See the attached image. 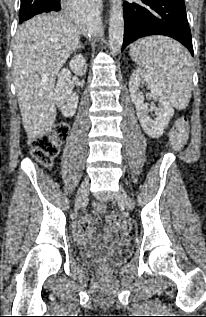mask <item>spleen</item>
<instances>
[{"instance_id": "obj_1", "label": "spleen", "mask_w": 206, "mask_h": 317, "mask_svg": "<svg viewBox=\"0 0 206 317\" xmlns=\"http://www.w3.org/2000/svg\"><path fill=\"white\" fill-rule=\"evenodd\" d=\"M132 60L146 70L177 109H185L192 91V57L178 42L162 36L145 37L130 47Z\"/></svg>"}]
</instances>
